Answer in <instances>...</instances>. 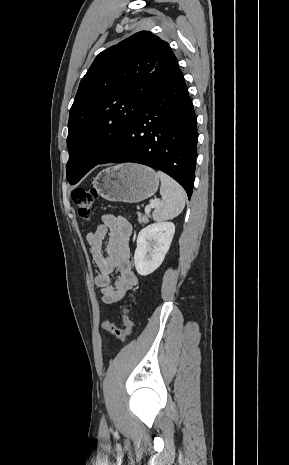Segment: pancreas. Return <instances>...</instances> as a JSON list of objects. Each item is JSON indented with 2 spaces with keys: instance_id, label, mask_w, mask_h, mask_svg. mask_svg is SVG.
Instances as JSON below:
<instances>
[{
  "instance_id": "obj_1",
  "label": "pancreas",
  "mask_w": 289,
  "mask_h": 465,
  "mask_svg": "<svg viewBox=\"0 0 289 465\" xmlns=\"http://www.w3.org/2000/svg\"><path fill=\"white\" fill-rule=\"evenodd\" d=\"M148 217H149V212H146L145 215L138 213V220L140 223H146L148 221Z\"/></svg>"
}]
</instances>
